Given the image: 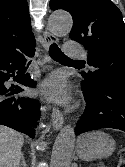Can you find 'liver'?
Returning a JSON list of instances; mask_svg holds the SVG:
<instances>
[{
	"instance_id": "liver-1",
	"label": "liver",
	"mask_w": 125,
	"mask_h": 167,
	"mask_svg": "<svg viewBox=\"0 0 125 167\" xmlns=\"http://www.w3.org/2000/svg\"><path fill=\"white\" fill-rule=\"evenodd\" d=\"M24 137L19 132L0 125V167H18Z\"/></svg>"
}]
</instances>
